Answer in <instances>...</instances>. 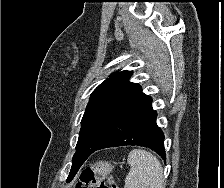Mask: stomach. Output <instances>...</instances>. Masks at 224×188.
<instances>
[{
    "instance_id": "1",
    "label": "stomach",
    "mask_w": 224,
    "mask_h": 188,
    "mask_svg": "<svg viewBox=\"0 0 224 188\" xmlns=\"http://www.w3.org/2000/svg\"><path fill=\"white\" fill-rule=\"evenodd\" d=\"M92 170L95 174L107 175L112 172L113 165L107 161H99L92 166Z\"/></svg>"
}]
</instances>
